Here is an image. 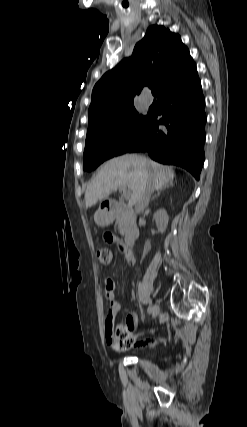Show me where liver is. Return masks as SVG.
I'll list each match as a JSON object with an SVG mask.
<instances>
[{
    "instance_id": "obj_1",
    "label": "liver",
    "mask_w": 247,
    "mask_h": 427,
    "mask_svg": "<svg viewBox=\"0 0 247 427\" xmlns=\"http://www.w3.org/2000/svg\"><path fill=\"white\" fill-rule=\"evenodd\" d=\"M175 177L171 167L163 166L146 157L129 154L107 161L87 186L85 193L86 207H92L99 200H106L111 191L128 187L132 191L131 201L144 191L148 180L153 189L159 190Z\"/></svg>"
}]
</instances>
